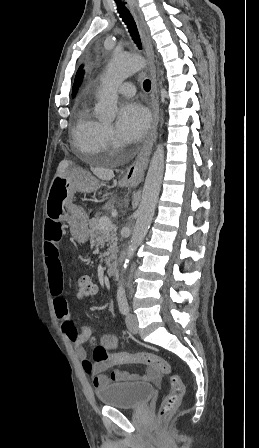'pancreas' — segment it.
<instances>
[{"label": "pancreas", "mask_w": 259, "mask_h": 448, "mask_svg": "<svg viewBox=\"0 0 259 448\" xmlns=\"http://www.w3.org/2000/svg\"><path fill=\"white\" fill-rule=\"evenodd\" d=\"M99 218H93L91 222H89L90 226V240L91 244H95V246H104L105 242H108L107 246H109L108 250L111 254L109 258H105L106 264L112 262V260H116L117 258V238L116 236V228H108V230H100V226H98ZM102 258V256H100Z\"/></svg>", "instance_id": "1"}]
</instances>
